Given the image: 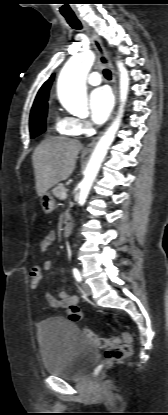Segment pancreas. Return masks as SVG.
I'll list each match as a JSON object with an SVG mask.
<instances>
[{"label": "pancreas", "instance_id": "obj_1", "mask_svg": "<svg viewBox=\"0 0 168 415\" xmlns=\"http://www.w3.org/2000/svg\"><path fill=\"white\" fill-rule=\"evenodd\" d=\"M63 191H67L66 188L63 186L62 183H59L56 185V187L53 189V194L57 198H61V193Z\"/></svg>", "mask_w": 168, "mask_h": 415}]
</instances>
